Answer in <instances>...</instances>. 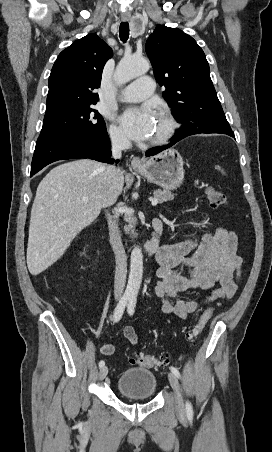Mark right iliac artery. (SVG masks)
Returning <instances> with one entry per match:
<instances>
[{
	"mask_svg": "<svg viewBox=\"0 0 272 452\" xmlns=\"http://www.w3.org/2000/svg\"><path fill=\"white\" fill-rule=\"evenodd\" d=\"M128 300H129V296H123L121 298L117 307L115 308L114 315H113V322H118L121 319ZM104 365H105V362L103 360H101L99 362V367H103Z\"/></svg>",
	"mask_w": 272,
	"mask_h": 452,
	"instance_id": "82829eb1",
	"label": "right iliac artery"
}]
</instances>
